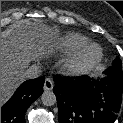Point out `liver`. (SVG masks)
Returning <instances> with one entry per match:
<instances>
[{"label": "liver", "mask_w": 123, "mask_h": 123, "mask_svg": "<svg viewBox=\"0 0 123 123\" xmlns=\"http://www.w3.org/2000/svg\"><path fill=\"white\" fill-rule=\"evenodd\" d=\"M58 39L56 27L20 20L1 32V106L24 81L31 61L52 54Z\"/></svg>", "instance_id": "1"}]
</instances>
